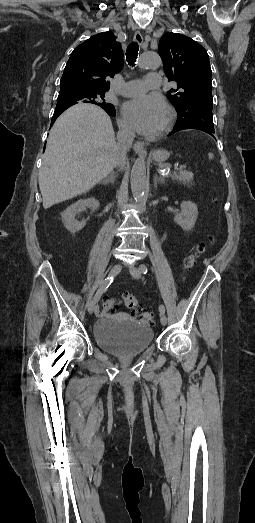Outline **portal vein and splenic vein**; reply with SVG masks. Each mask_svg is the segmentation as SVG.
<instances>
[{
    "instance_id": "1",
    "label": "portal vein and splenic vein",
    "mask_w": 255,
    "mask_h": 523,
    "mask_svg": "<svg viewBox=\"0 0 255 523\" xmlns=\"http://www.w3.org/2000/svg\"><path fill=\"white\" fill-rule=\"evenodd\" d=\"M180 174H185L187 172L186 166H180V168H176Z\"/></svg>"
}]
</instances>
